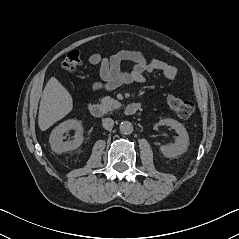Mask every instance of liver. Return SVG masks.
<instances>
[{"instance_id":"6515ba94","label":"liver","mask_w":239,"mask_h":239,"mask_svg":"<svg viewBox=\"0 0 239 239\" xmlns=\"http://www.w3.org/2000/svg\"><path fill=\"white\" fill-rule=\"evenodd\" d=\"M73 108V100L67 89L55 78L47 82L40 101L38 125L45 131L64 118Z\"/></svg>"}]
</instances>
